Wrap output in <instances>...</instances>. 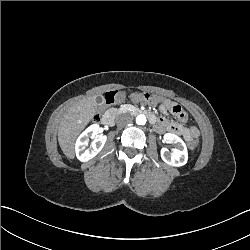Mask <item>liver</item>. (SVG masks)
Wrapping results in <instances>:
<instances>
[{"instance_id":"6515ba94","label":"liver","mask_w":250,"mask_h":250,"mask_svg":"<svg viewBox=\"0 0 250 250\" xmlns=\"http://www.w3.org/2000/svg\"><path fill=\"white\" fill-rule=\"evenodd\" d=\"M96 105L95 97H84L64 115L58 129V141L67 157H74L76 136L93 117Z\"/></svg>"}]
</instances>
